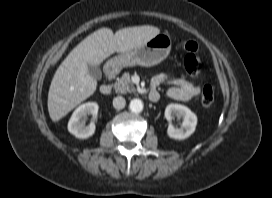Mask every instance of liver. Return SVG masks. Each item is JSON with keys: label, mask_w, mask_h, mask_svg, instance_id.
<instances>
[{"label": "liver", "mask_w": 272, "mask_h": 198, "mask_svg": "<svg viewBox=\"0 0 272 198\" xmlns=\"http://www.w3.org/2000/svg\"><path fill=\"white\" fill-rule=\"evenodd\" d=\"M160 33L150 25L127 27L116 31L100 28L82 40L63 60L48 92V112L56 122L90 97L97 81L88 73V65L98 66L113 53H123L144 45Z\"/></svg>", "instance_id": "liver-1"}]
</instances>
